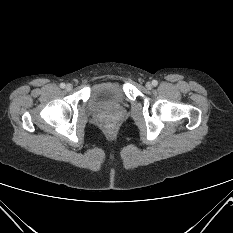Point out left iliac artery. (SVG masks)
Segmentation results:
<instances>
[{"label": "left iliac artery", "instance_id": "1", "mask_svg": "<svg viewBox=\"0 0 233 233\" xmlns=\"http://www.w3.org/2000/svg\"><path fill=\"white\" fill-rule=\"evenodd\" d=\"M152 85H153V86H157V85H158L157 80H153V81H152Z\"/></svg>", "mask_w": 233, "mask_h": 233}]
</instances>
